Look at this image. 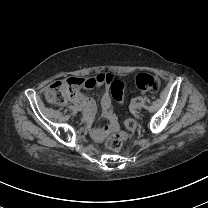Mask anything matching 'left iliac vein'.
<instances>
[{
  "label": "left iliac vein",
  "instance_id": "left-iliac-vein-1",
  "mask_svg": "<svg viewBox=\"0 0 208 208\" xmlns=\"http://www.w3.org/2000/svg\"><path fill=\"white\" fill-rule=\"evenodd\" d=\"M142 106H143V105H142L141 102H138V103L135 104V108L138 109V110L141 109Z\"/></svg>",
  "mask_w": 208,
  "mask_h": 208
}]
</instances>
